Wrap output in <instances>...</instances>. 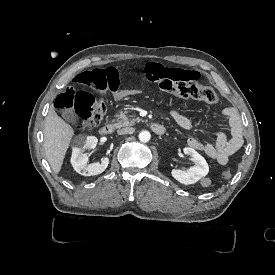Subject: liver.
<instances>
[{
    "mask_svg": "<svg viewBox=\"0 0 275 275\" xmlns=\"http://www.w3.org/2000/svg\"><path fill=\"white\" fill-rule=\"evenodd\" d=\"M73 135V128L57 115L53 105L50 106L45 118L44 149L46 158L55 173L61 170Z\"/></svg>",
    "mask_w": 275,
    "mask_h": 275,
    "instance_id": "obj_1",
    "label": "liver"
}]
</instances>
